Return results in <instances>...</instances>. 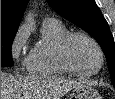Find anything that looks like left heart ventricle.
Wrapping results in <instances>:
<instances>
[{"label":"left heart ventricle","instance_id":"left-heart-ventricle-1","mask_svg":"<svg viewBox=\"0 0 115 99\" xmlns=\"http://www.w3.org/2000/svg\"><path fill=\"white\" fill-rule=\"evenodd\" d=\"M68 55L74 66L82 71H93L100 63L99 54L94 45L82 37L71 40Z\"/></svg>","mask_w":115,"mask_h":99}]
</instances>
